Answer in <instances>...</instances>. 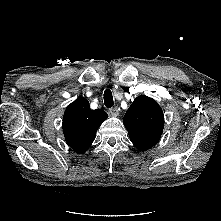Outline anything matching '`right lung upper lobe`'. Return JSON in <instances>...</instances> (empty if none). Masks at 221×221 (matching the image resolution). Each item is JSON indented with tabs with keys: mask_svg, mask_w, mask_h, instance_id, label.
Wrapping results in <instances>:
<instances>
[{
	"mask_svg": "<svg viewBox=\"0 0 221 221\" xmlns=\"http://www.w3.org/2000/svg\"><path fill=\"white\" fill-rule=\"evenodd\" d=\"M107 117V113L101 109L91 110L85 98H77L67 106L63 117V132L67 144L76 152L84 153Z\"/></svg>",
	"mask_w": 221,
	"mask_h": 221,
	"instance_id": "obj_1",
	"label": "right lung upper lobe"
}]
</instances>
